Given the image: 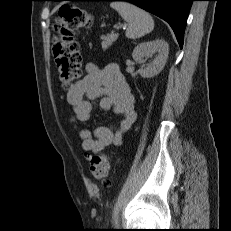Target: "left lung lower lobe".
Returning <instances> with one entry per match:
<instances>
[{
    "instance_id": "left-lung-lower-lobe-1",
    "label": "left lung lower lobe",
    "mask_w": 231,
    "mask_h": 231,
    "mask_svg": "<svg viewBox=\"0 0 231 231\" xmlns=\"http://www.w3.org/2000/svg\"><path fill=\"white\" fill-rule=\"evenodd\" d=\"M63 1V0H54ZM88 1H127L155 14L167 21L172 27L180 47L183 46V36L187 17L194 0H88Z\"/></svg>"
}]
</instances>
